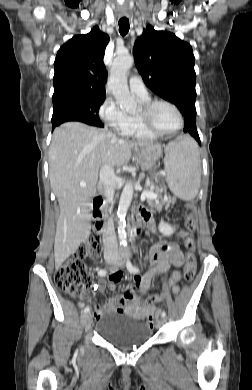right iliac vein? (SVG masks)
<instances>
[{
	"instance_id": "right-iliac-vein-1",
	"label": "right iliac vein",
	"mask_w": 252,
	"mask_h": 390,
	"mask_svg": "<svg viewBox=\"0 0 252 390\" xmlns=\"http://www.w3.org/2000/svg\"><path fill=\"white\" fill-rule=\"evenodd\" d=\"M107 263L112 264L113 262L116 261V256H109L106 259ZM81 320L83 323V326L87 329L90 326V316L88 314H82L81 315Z\"/></svg>"
}]
</instances>
